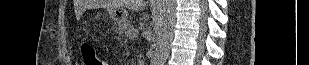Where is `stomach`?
I'll list each match as a JSON object with an SVG mask.
<instances>
[{"mask_svg": "<svg viewBox=\"0 0 309 65\" xmlns=\"http://www.w3.org/2000/svg\"><path fill=\"white\" fill-rule=\"evenodd\" d=\"M107 12L110 16V18L118 25V26H124L128 24L127 21V12L122 7H109L107 9Z\"/></svg>", "mask_w": 309, "mask_h": 65, "instance_id": "1", "label": "stomach"}]
</instances>
